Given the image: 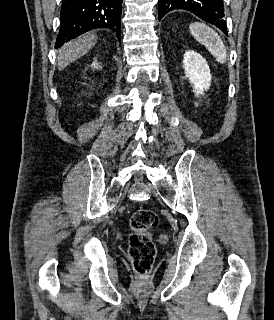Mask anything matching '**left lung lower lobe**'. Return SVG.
I'll use <instances>...</instances> for the list:
<instances>
[{"instance_id": "left-lung-lower-lobe-1", "label": "left lung lower lobe", "mask_w": 274, "mask_h": 320, "mask_svg": "<svg viewBox=\"0 0 274 320\" xmlns=\"http://www.w3.org/2000/svg\"><path fill=\"white\" fill-rule=\"evenodd\" d=\"M174 9L188 10L228 35L226 21L223 19L225 16L223 0H159V20Z\"/></svg>"}]
</instances>
